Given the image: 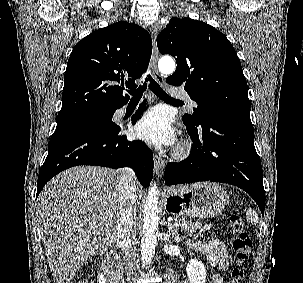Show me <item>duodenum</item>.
I'll return each instance as SVG.
<instances>
[{
	"label": "duodenum",
	"instance_id": "obj_1",
	"mask_svg": "<svg viewBox=\"0 0 303 283\" xmlns=\"http://www.w3.org/2000/svg\"><path fill=\"white\" fill-rule=\"evenodd\" d=\"M111 283H123L124 270L121 259L115 252H109L102 264Z\"/></svg>",
	"mask_w": 303,
	"mask_h": 283
}]
</instances>
